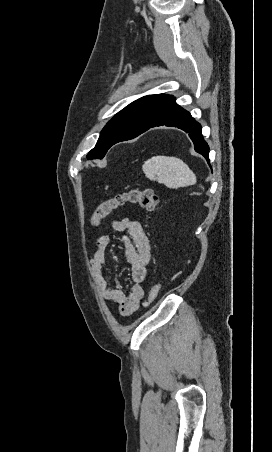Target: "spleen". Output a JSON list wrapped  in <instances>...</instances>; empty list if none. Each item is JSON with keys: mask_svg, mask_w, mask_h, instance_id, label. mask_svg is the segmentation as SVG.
<instances>
[{"mask_svg": "<svg viewBox=\"0 0 272 452\" xmlns=\"http://www.w3.org/2000/svg\"><path fill=\"white\" fill-rule=\"evenodd\" d=\"M150 180H157L169 188L190 186L196 183V176L181 159L169 156H154L142 166Z\"/></svg>", "mask_w": 272, "mask_h": 452, "instance_id": "3e777b00", "label": "spleen"}]
</instances>
